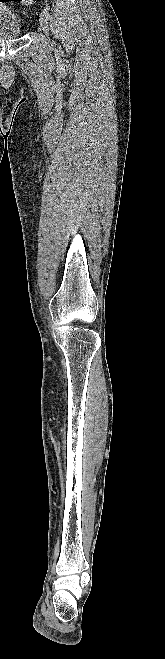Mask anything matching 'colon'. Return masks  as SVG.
<instances>
[{"instance_id":"colon-1","label":"colon","mask_w":165,"mask_h":659,"mask_svg":"<svg viewBox=\"0 0 165 659\" xmlns=\"http://www.w3.org/2000/svg\"><path fill=\"white\" fill-rule=\"evenodd\" d=\"M21 1H23V2H25V3H30V2H32V0H21Z\"/></svg>"}]
</instances>
